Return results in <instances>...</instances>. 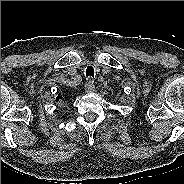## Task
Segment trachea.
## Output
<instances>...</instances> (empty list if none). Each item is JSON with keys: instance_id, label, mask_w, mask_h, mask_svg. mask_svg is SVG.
Listing matches in <instances>:
<instances>
[{"instance_id": "obj_1", "label": "trachea", "mask_w": 184, "mask_h": 184, "mask_svg": "<svg viewBox=\"0 0 184 184\" xmlns=\"http://www.w3.org/2000/svg\"><path fill=\"white\" fill-rule=\"evenodd\" d=\"M86 76L87 77H94V69L92 66L87 67L86 69Z\"/></svg>"}]
</instances>
